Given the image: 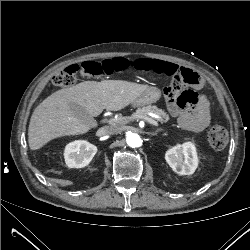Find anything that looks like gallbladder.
I'll list each match as a JSON object with an SVG mask.
<instances>
[{
    "instance_id": "obj_1",
    "label": "gallbladder",
    "mask_w": 250,
    "mask_h": 250,
    "mask_svg": "<svg viewBox=\"0 0 250 250\" xmlns=\"http://www.w3.org/2000/svg\"><path fill=\"white\" fill-rule=\"evenodd\" d=\"M69 105L77 118L85 122L90 120L88 112L81 105L76 103H70Z\"/></svg>"
}]
</instances>
